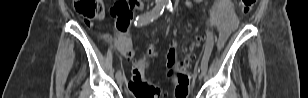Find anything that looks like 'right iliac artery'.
<instances>
[{
    "mask_svg": "<svg viewBox=\"0 0 308 98\" xmlns=\"http://www.w3.org/2000/svg\"><path fill=\"white\" fill-rule=\"evenodd\" d=\"M165 4L160 2L158 3L151 11L146 12L140 16H138L134 22L135 26H143L146 25L153 20L157 19L164 11ZM120 71H117L116 77L120 74Z\"/></svg>",
    "mask_w": 308,
    "mask_h": 98,
    "instance_id": "right-iliac-artery-1",
    "label": "right iliac artery"
}]
</instances>
